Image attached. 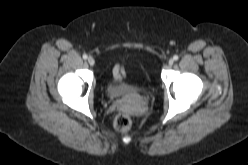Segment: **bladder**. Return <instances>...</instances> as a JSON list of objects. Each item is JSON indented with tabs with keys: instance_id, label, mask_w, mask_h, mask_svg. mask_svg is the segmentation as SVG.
<instances>
[{
	"instance_id": "31cf9c89",
	"label": "bladder",
	"mask_w": 248,
	"mask_h": 165,
	"mask_svg": "<svg viewBox=\"0 0 248 165\" xmlns=\"http://www.w3.org/2000/svg\"><path fill=\"white\" fill-rule=\"evenodd\" d=\"M139 90L138 86H136L132 82H121L118 84L109 83L106 86V94L109 98L119 99L128 96H132L137 93Z\"/></svg>"
}]
</instances>
